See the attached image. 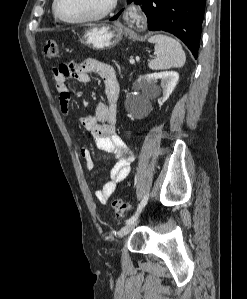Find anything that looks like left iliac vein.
I'll return each instance as SVG.
<instances>
[{
	"label": "left iliac vein",
	"instance_id": "left-iliac-vein-1",
	"mask_svg": "<svg viewBox=\"0 0 247 299\" xmlns=\"http://www.w3.org/2000/svg\"><path fill=\"white\" fill-rule=\"evenodd\" d=\"M138 224V221H134L132 223H128L126 224L124 227L121 228V230L119 231V237H123L125 235H127L128 233H130L135 226Z\"/></svg>",
	"mask_w": 247,
	"mask_h": 299
}]
</instances>
